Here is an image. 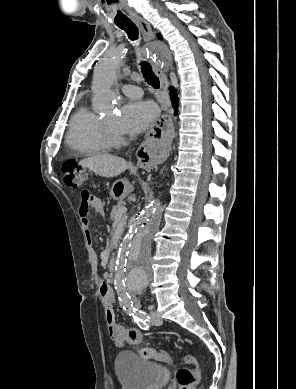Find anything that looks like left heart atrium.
Segmentation results:
<instances>
[{
    "mask_svg": "<svg viewBox=\"0 0 296 389\" xmlns=\"http://www.w3.org/2000/svg\"><path fill=\"white\" fill-rule=\"evenodd\" d=\"M157 114V108L151 102H129L123 107L116 127L122 133L139 134L154 122Z\"/></svg>",
    "mask_w": 296,
    "mask_h": 389,
    "instance_id": "1",
    "label": "left heart atrium"
}]
</instances>
